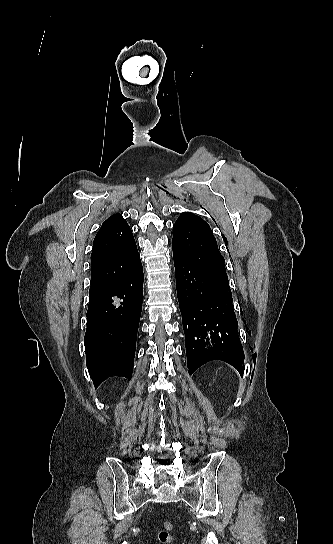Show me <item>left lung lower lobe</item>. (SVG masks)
Returning a JSON list of instances; mask_svg holds the SVG:
<instances>
[{"label":"left lung lower lobe","instance_id":"1","mask_svg":"<svg viewBox=\"0 0 333 544\" xmlns=\"http://www.w3.org/2000/svg\"><path fill=\"white\" fill-rule=\"evenodd\" d=\"M173 257L189 374L211 360L242 374L245 356L229 285L179 253L173 251Z\"/></svg>","mask_w":333,"mask_h":544}]
</instances>
